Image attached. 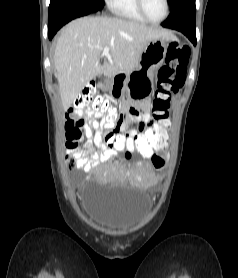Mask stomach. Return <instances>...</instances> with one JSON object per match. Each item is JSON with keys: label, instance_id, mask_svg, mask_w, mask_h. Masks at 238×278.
I'll return each instance as SVG.
<instances>
[{"label": "stomach", "instance_id": "1", "mask_svg": "<svg viewBox=\"0 0 238 278\" xmlns=\"http://www.w3.org/2000/svg\"><path fill=\"white\" fill-rule=\"evenodd\" d=\"M168 44L163 38L151 41L141 55L137 68L133 71L121 69V74L108 78L105 86L112 99H129L149 97L154 91V71L165 61Z\"/></svg>", "mask_w": 238, "mask_h": 278}]
</instances>
